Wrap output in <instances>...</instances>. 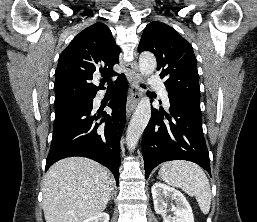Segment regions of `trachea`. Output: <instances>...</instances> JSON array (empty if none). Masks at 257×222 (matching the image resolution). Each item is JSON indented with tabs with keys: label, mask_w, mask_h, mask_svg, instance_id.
<instances>
[{
	"label": "trachea",
	"mask_w": 257,
	"mask_h": 222,
	"mask_svg": "<svg viewBox=\"0 0 257 222\" xmlns=\"http://www.w3.org/2000/svg\"><path fill=\"white\" fill-rule=\"evenodd\" d=\"M102 81L108 83V88H112L114 86L112 80L110 78H108V77L104 78ZM141 86L145 87L144 85H141Z\"/></svg>",
	"instance_id": "trachea-1"
}]
</instances>
